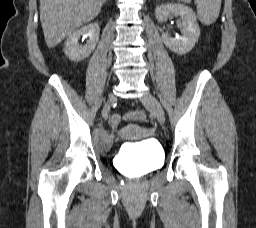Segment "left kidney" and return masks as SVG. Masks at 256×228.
Masks as SVG:
<instances>
[{
  "label": "left kidney",
  "instance_id": "5707ae66",
  "mask_svg": "<svg viewBox=\"0 0 256 228\" xmlns=\"http://www.w3.org/2000/svg\"><path fill=\"white\" fill-rule=\"evenodd\" d=\"M156 18L159 22H166L171 15H177L182 20L183 36L172 38L167 32L162 34V40L167 48L178 55L190 52L195 46L200 29L194 11L183 4H162L155 10Z\"/></svg>",
  "mask_w": 256,
  "mask_h": 228
}]
</instances>
